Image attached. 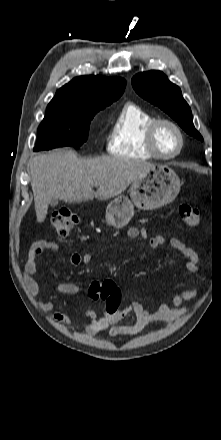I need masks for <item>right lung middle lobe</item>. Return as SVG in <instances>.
Returning a JSON list of instances; mask_svg holds the SVG:
<instances>
[{
  "instance_id": "1",
  "label": "right lung middle lobe",
  "mask_w": 221,
  "mask_h": 440,
  "mask_svg": "<svg viewBox=\"0 0 221 440\" xmlns=\"http://www.w3.org/2000/svg\"><path fill=\"white\" fill-rule=\"evenodd\" d=\"M104 106L70 107L48 104L38 127L34 151L63 146H81L88 138L90 122Z\"/></svg>"
}]
</instances>
